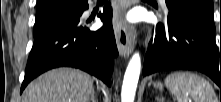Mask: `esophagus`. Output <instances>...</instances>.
I'll use <instances>...</instances> for the list:
<instances>
[{"mask_svg":"<svg viewBox=\"0 0 221 102\" xmlns=\"http://www.w3.org/2000/svg\"><path fill=\"white\" fill-rule=\"evenodd\" d=\"M129 3L126 0H120L114 13L113 27L116 37L118 51L121 56L128 57L135 43V33L132 26L127 25L121 18L122 9Z\"/></svg>","mask_w":221,"mask_h":102,"instance_id":"obj_1","label":"esophagus"}]
</instances>
